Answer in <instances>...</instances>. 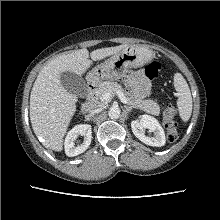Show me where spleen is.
I'll return each instance as SVG.
<instances>
[{
  "mask_svg": "<svg viewBox=\"0 0 220 220\" xmlns=\"http://www.w3.org/2000/svg\"><path fill=\"white\" fill-rule=\"evenodd\" d=\"M174 87L179 93L177 100L179 116L184 122H187L192 113V96L186 80L180 73L174 75Z\"/></svg>",
  "mask_w": 220,
  "mask_h": 220,
  "instance_id": "3e777b00",
  "label": "spleen"
}]
</instances>
